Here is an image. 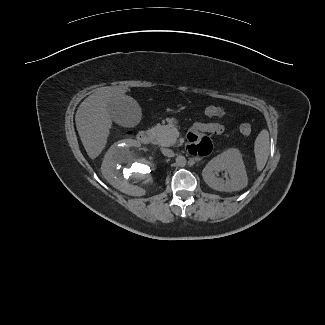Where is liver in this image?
Masks as SVG:
<instances>
[{
    "label": "liver",
    "mask_w": 325,
    "mask_h": 325,
    "mask_svg": "<svg viewBox=\"0 0 325 325\" xmlns=\"http://www.w3.org/2000/svg\"><path fill=\"white\" fill-rule=\"evenodd\" d=\"M125 86L101 87L83 100L77 109L75 122L83 146L91 159L97 158L106 146L112 118L107 106L119 97L125 95Z\"/></svg>",
    "instance_id": "6515ba94"
}]
</instances>
